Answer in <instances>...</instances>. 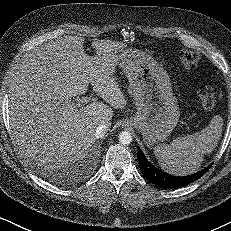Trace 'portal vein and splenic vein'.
I'll return each instance as SVG.
<instances>
[{
  "instance_id": "portal-vein-and-splenic-vein-1",
  "label": "portal vein and splenic vein",
  "mask_w": 231,
  "mask_h": 231,
  "mask_svg": "<svg viewBox=\"0 0 231 231\" xmlns=\"http://www.w3.org/2000/svg\"><path fill=\"white\" fill-rule=\"evenodd\" d=\"M91 100V97H82V98H76L73 102L74 105L81 107L85 104H87Z\"/></svg>"
}]
</instances>
